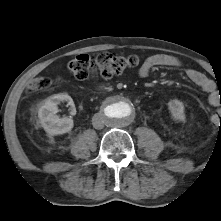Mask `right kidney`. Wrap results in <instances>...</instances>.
I'll return each instance as SVG.
<instances>
[{
	"mask_svg": "<svg viewBox=\"0 0 221 221\" xmlns=\"http://www.w3.org/2000/svg\"><path fill=\"white\" fill-rule=\"evenodd\" d=\"M60 102H67L70 106V114H76V108L73 99L65 93L55 94L45 100L43 105L39 108L38 117L41 126L49 135H61L71 131L74 126L72 118H60L56 113L58 112V104Z\"/></svg>",
	"mask_w": 221,
	"mask_h": 221,
	"instance_id": "1",
	"label": "right kidney"
}]
</instances>
